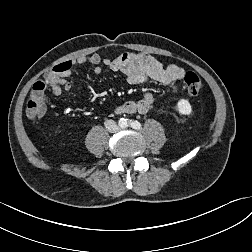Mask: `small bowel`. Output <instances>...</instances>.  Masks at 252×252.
<instances>
[{
	"label": "small bowel",
	"instance_id": "c3829d8e",
	"mask_svg": "<svg viewBox=\"0 0 252 252\" xmlns=\"http://www.w3.org/2000/svg\"><path fill=\"white\" fill-rule=\"evenodd\" d=\"M88 63L96 74L102 72L101 64L113 71H120L129 84H144L149 81L159 82L169 87L173 92L177 91V82L183 77L184 71L175 64L163 65L151 55L144 53H123L114 59L102 60L98 54H89L78 57L75 60L64 62L65 71L61 74L57 83L50 86L53 96L58 97L63 91L71 90V83L65 77L71 74V68L75 64ZM154 96L146 93L138 101H127L117 107L119 114H131L138 112L146 114L153 106Z\"/></svg>",
	"mask_w": 252,
	"mask_h": 252
}]
</instances>
